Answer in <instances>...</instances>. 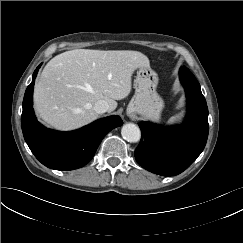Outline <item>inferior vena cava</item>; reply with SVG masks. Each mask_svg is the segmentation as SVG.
Instances as JSON below:
<instances>
[{"instance_id": "602c4592", "label": "inferior vena cava", "mask_w": 243, "mask_h": 243, "mask_svg": "<svg viewBox=\"0 0 243 243\" xmlns=\"http://www.w3.org/2000/svg\"><path fill=\"white\" fill-rule=\"evenodd\" d=\"M94 110L98 114H102L109 110V105L105 100H99L94 104Z\"/></svg>"}]
</instances>
